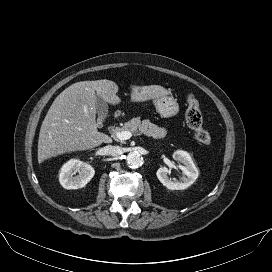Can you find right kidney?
<instances>
[{
  "label": "right kidney",
  "mask_w": 272,
  "mask_h": 272,
  "mask_svg": "<svg viewBox=\"0 0 272 272\" xmlns=\"http://www.w3.org/2000/svg\"><path fill=\"white\" fill-rule=\"evenodd\" d=\"M76 173H78L76 175ZM93 167L77 159L65 163L59 174V181L65 189L83 188L94 176Z\"/></svg>",
  "instance_id": "1"
}]
</instances>
